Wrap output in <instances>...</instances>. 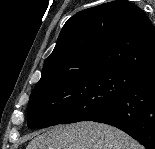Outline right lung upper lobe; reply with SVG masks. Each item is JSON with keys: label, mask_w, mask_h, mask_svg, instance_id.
Wrapping results in <instances>:
<instances>
[{"label": "right lung upper lobe", "mask_w": 155, "mask_h": 149, "mask_svg": "<svg viewBox=\"0 0 155 149\" xmlns=\"http://www.w3.org/2000/svg\"><path fill=\"white\" fill-rule=\"evenodd\" d=\"M117 69L144 76L155 73V27L142 9L125 0L85 9L71 17L45 60L39 82Z\"/></svg>", "instance_id": "cb5924a9"}]
</instances>
